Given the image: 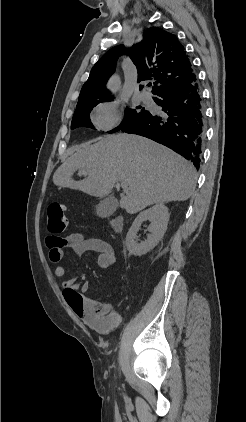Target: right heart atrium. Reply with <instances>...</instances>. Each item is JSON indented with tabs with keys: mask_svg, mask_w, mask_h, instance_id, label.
I'll return each mask as SVG.
<instances>
[{
	"mask_svg": "<svg viewBox=\"0 0 246 422\" xmlns=\"http://www.w3.org/2000/svg\"><path fill=\"white\" fill-rule=\"evenodd\" d=\"M122 117V109L114 101H104L99 103L93 110L92 122L102 131H109L115 128Z\"/></svg>",
	"mask_w": 246,
	"mask_h": 422,
	"instance_id": "d8ad5b80",
	"label": "right heart atrium"
}]
</instances>
